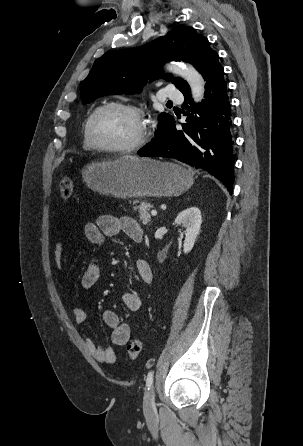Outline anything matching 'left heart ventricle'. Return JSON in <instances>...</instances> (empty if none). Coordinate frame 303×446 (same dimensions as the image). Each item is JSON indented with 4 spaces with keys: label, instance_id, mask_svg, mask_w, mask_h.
Here are the masks:
<instances>
[{
    "label": "left heart ventricle",
    "instance_id": "obj_1",
    "mask_svg": "<svg viewBox=\"0 0 303 446\" xmlns=\"http://www.w3.org/2000/svg\"><path fill=\"white\" fill-rule=\"evenodd\" d=\"M92 132L95 140L101 145L124 146L137 138L140 122L127 111L108 109L95 118Z\"/></svg>",
    "mask_w": 303,
    "mask_h": 446
}]
</instances>
